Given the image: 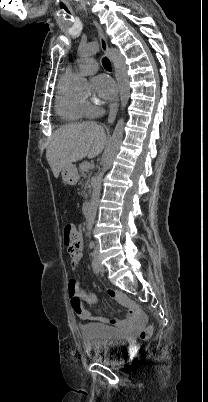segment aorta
I'll return each mask as SVG.
<instances>
[{
    "label": "aorta",
    "instance_id": "obj_1",
    "mask_svg": "<svg viewBox=\"0 0 208 402\" xmlns=\"http://www.w3.org/2000/svg\"><path fill=\"white\" fill-rule=\"evenodd\" d=\"M107 56L109 60H111L114 70H115V78L118 82L119 94H120V102H121V110H124L128 104V100L130 98V84H129V76L127 74V66L125 64V60L120 54L118 48H108ZM124 132V120L120 118L118 120L115 130L113 132V136L111 138V142H109L107 146V150L104 152L103 158V168L108 170L114 162V158L117 156V152L119 150V146L122 142ZM100 176L104 175V171L99 172ZM102 178L98 176L97 180L94 182L93 186V194L90 202V212L87 217V228L85 230L88 238H91V235L94 233V223L96 222V212L99 204V197L102 195ZM87 242H90V239H87ZM90 247H93V244H90Z\"/></svg>",
    "mask_w": 208,
    "mask_h": 402
}]
</instances>
